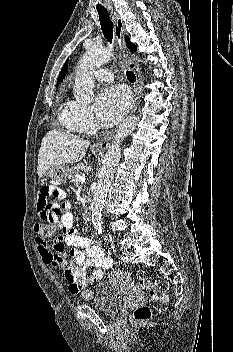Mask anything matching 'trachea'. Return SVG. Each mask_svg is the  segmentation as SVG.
<instances>
[{
    "instance_id": "trachea-1",
    "label": "trachea",
    "mask_w": 233,
    "mask_h": 352,
    "mask_svg": "<svg viewBox=\"0 0 233 352\" xmlns=\"http://www.w3.org/2000/svg\"><path fill=\"white\" fill-rule=\"evenodd\" d=\"M97 12L99 14V21L101 25L102 32L108 42H112L113 39V23L110 19L109 12L104 7H97ZM127 79L134 83L136 81V76L133 72H126Z\"/></svg>"
}]
</instances>
